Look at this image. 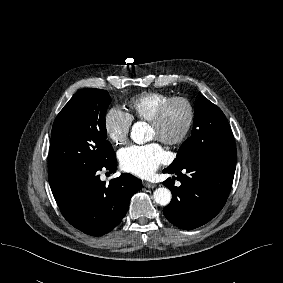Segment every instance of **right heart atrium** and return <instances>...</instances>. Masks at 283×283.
<instances>
[{
  "instance_id": "1",
  "label": "right heart atrium",
  "mask_w": 283,
  "mask_h": 283,
  "mask_svg": "<svg viewBox=\"0 0 283 283\" xmlns=\"http://www.w3.org/2000/svg\"><path fill=\"white\" fill-rule=\"evenodd\" d=\"M131 124L132 119L128 113L116 107L109 109L104 117L106 135L115 145L127 143Z\"/></svg>"
}]
</instances>
